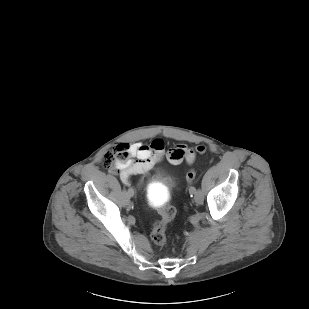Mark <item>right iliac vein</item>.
I'll return each mask as SVG.
<instances>
[{"label": "right iliac vein", "instance_id": "63e3f726", "mask_svg": "<svg viewBox=\"0 0 309 309\" xmlns=\"http://www.w3.org/2000/svg\"><path fill=\"white\" fill-rule=\"evenodd\" d=\"M133 195H127L126 194V196H125V201H126V203L127 204H129V202H130V197H132Z\"/></svg>", "mask_w": 309, "mask_h": 309}]
</instances>
